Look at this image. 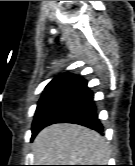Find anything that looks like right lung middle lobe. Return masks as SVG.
Returning a JSON list of instances; mask_svg holds the SVG:
<instances>
[{
	"instance_id": "obj_1",
	"label": "right lung middle lobe",
	"mask_w": 135,
	"mask_h": 166,
	"mask_svg": "<svg viewBox=\"0 0 135 166\" xmlns=\"http://www.w3.org/2000/svg\"><path fill=\"white\" fill-rule=\"evenodd\" d=\"M72 98L73 96L68 88L42 97L38 102L32 124V138L66 111Z\"/></svg>"
}]
</instances>
